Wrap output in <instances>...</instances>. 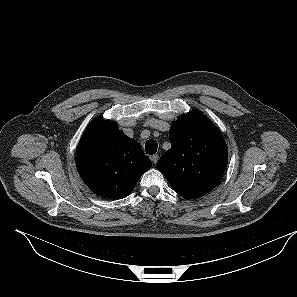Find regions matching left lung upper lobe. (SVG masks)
Masks as SVG:
<instances>
[{"label": "left lung upper lobe", "instance_id": "5c2ea615", "mask_svg": "<svg viewBox=\"0 0 297 297\" xmlns=\"http://www.w3.org/2000/svg\"><path fill=\"white\" fill-rule=\"evenodd\" d=\"M169 138L172 146L157 168L172 188L186 199L213 190L228 161L226 143L216 127L200 112L191 111L173 123Z\"/></svg>", "mask_w": 297, "mask_h": 297}]
</instances>
